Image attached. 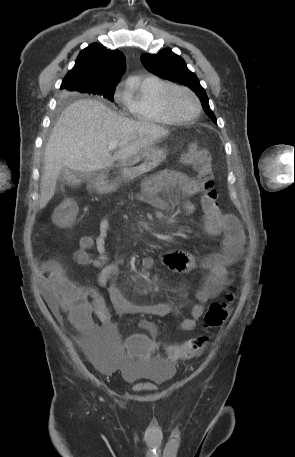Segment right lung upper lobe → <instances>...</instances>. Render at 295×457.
I'll return each mask as SVG.
<instances>
[{"label": "right lung upper lobe", "mask_w": 295, "mask_h": 457, "mask_svg": "<svg viewBox=\"0 0 295 457\" xmlns=\"http://www.w3.org/2000/svg\"><path fill=\"white\" fill-rule=\"evenodd\" d=\"M125 67V56L121 51L108 50L93 43L80 52L75 66L66 74L61 89L74 91V84H84L93 89L116 86Z\"/></svg>", "instance_id": "obj_1"}]
</instances>
